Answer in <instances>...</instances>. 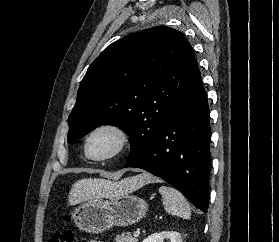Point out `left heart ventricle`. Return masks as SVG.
I'll return each instance as SVG.
<instances>
[{
    "instance_id": "left-heart-ventricle-1",
    "label": "left heart ventricle",
    "mask_w": 279,
    "mask_h": 242,
    "mask_svg": "<svg viewBox=\"0 0 279 242\" xmlns=\"http://www.w3.org/2000/svg\"><path fill=\"white\" fill-rule=\"evenodd\" d=\"M116 145V137L113 133L103 131L96 134L90 141L89 153L93 157H101L110 153Z\"/></svg>"
}]
</instances>
